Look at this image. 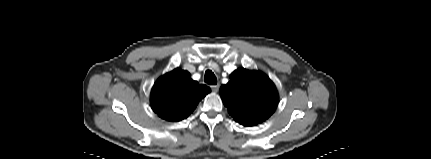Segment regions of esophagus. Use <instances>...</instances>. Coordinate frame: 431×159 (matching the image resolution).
Segmentation results:
<instances>
[{
	"label": "esophagus",
	"mask_w": 431,
	"mask_h": 159,
	"mask_svg": "<svg viewBox=\"0 0 431 159\" xmlns=\"http://www.w3.org/2000/svg\"><path fill=\"white\" fill-rule=\"evenodd\" d=\"M211 89H212V91H213V92H218V90H219V84H217V85H212V86H211Z\"/></svg>",
	"instance_id": "1"
}]
</instances>
